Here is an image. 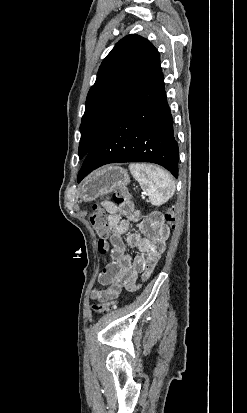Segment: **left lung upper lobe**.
Wrapping results in <instances>:
<instances>
[{
	"label": "left lung upper lobe",
	"mask_w": 247,
	"mask_h": 413,
	"mask_svg": "<svg viewBox=\"0 0 247 413\" xmlns=\"http://www.w3.org/2000/svg\"><path fill=\"white\" fill-rule=\"evenodd\" d=\"M161 71L156 48L145 38L128 35L103 60L90 88L80 125L79 157H85L113 121Z\"/></svg>",
	"instance_id": "5c2ea615"
}]
</instances>
